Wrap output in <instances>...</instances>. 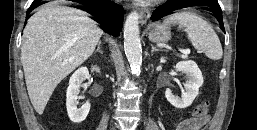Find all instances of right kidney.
<instances>
[{
    "label": "right kidney",
    "mask_w": 257,
    "mask_h": 130,
    "mask_svg": "<svg viewBox=\"0 0 257 130\" xmlns=\"http://www.w3.org/2000/svg\"><path fill=\"white\" fill-rule=\"evenodd\" d=\"M97 72H100L98 67H93ZM89 77V71L86 67H81L76 70L69 80V86L66 92V108L70 120L74 123L84 121L90 111V103L86 102L81 108H77L80 99V87L82 83Z\"/></svg>",
    "instance_id": "right-kidney-1"
}]
</instances>
